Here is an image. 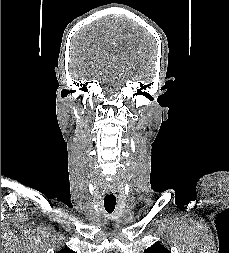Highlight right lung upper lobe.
Masks as SVG:
<instances>
[{
  "instance_id": "right-lung-upper-lobe-1",
  "label": "right lung upper lobe",
  "mask_w": 229,
  "mask_h": 253,
  "mask_svg": "<svg viewBox=\"0 0 229 253\" xmlns=\"http://www.w3.org/2000/svg\"><path fill=\"white\" fill-rule=\"evenodd\" d=\"M57 253H75V252L70 249H63L61 251H58Z\"/></svg>"
}]
</instances>
